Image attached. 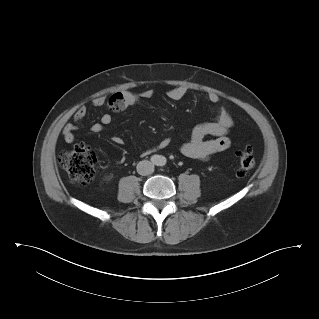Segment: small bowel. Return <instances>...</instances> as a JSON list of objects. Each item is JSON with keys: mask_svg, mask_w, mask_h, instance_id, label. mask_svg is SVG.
<instances>
[{"mask_svg": "<svg viewBox=\"0 0 319 319\" xmlns=\"http://www.w3.org/2000/svg\"><path fill=\"white\" fill-rule=\"evenodd\" d=\"M188 90L184 86H176L168 91V97L171 100L178 101L182 99ZM121 104L123 109L135 105L140 98L149 99L153 96V91L145 89L140 93L126 91L121 94ZM208 100L216 104L219 102V96L214 93H208ZM92 104L96 108L108 106L111 110L110 100L106 96H97L93 99ZM87 114V108L80 106L74 114L73 122H68L63 130L62 136L66 143H73L76 139V131L79 129L81 121ZM112 121L110 113H104L100 121L91 126L93 133H101L105 126ZM233 126V119L226 107L220 106L216 111V117L213 121L196 125L190 135V139L180 146V152L186 156L198 160L209 159L215 153L226 150L229 147L230 141L227 134ZM211 137V138H207ZM115 144H123V139L120 136L111 137ZM170 142L167 139L161 140L154 148L146 149L142 152L143 155H148L154 150H162L169 146Z\"/></svg>", "mask_w": 319, "mask_h": 319, "instance_id": "small-bowel-1", "label": "small bowel"}]
</instances>
